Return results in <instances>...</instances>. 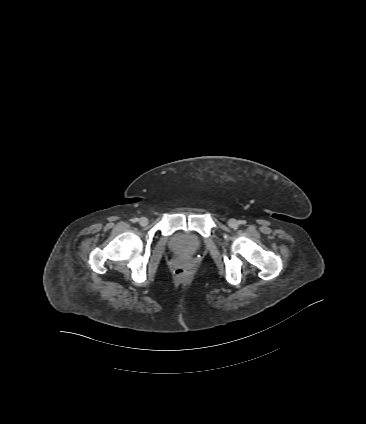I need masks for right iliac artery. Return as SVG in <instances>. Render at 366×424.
I'll use <instances>...</instances> for the list:
<instances>
[{
    "mask_svg": "<svg viewBox=\"0 0 366 424\" xmlns=\"http://www.w3.org/2000/svg\"><path fill=\"white\" fill-rule=\"evenodd\" d=\"M138 220H139L138 218H133V219H132V222H134V223H135V222H137Z\"/></svg>",
    "mask_w": 366,
    "mask_h": 424,
    "instance_id": "right-iliac-artery-1",
    "label": "right iliac artery"
}]
</instances>
